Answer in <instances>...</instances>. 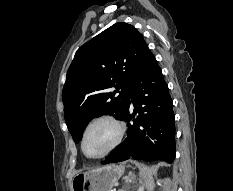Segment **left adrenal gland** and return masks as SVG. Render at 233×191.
Instances as JSON below:
<instances>
[{
    "label": "left adrenal gland",
    "instance_id": "a2214340",
    "mask_svg": "<svg viewBox=\"0 0 233 191\" xmlns=\"http://www.w3.org/2000/svg\"><path fill=\"white\" fill-rule=\"evenodd\" d=\"M133 179H134V177H133V176L131 175V173H130L129 176H128V178H127V180H128L129 182H132Z\"/></svg>",
    "mask_w": 233,
    "mask_h": 191
}]
</instances>
